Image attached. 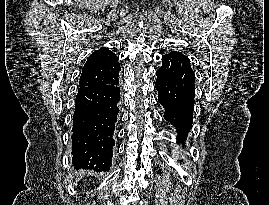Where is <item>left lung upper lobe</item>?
Wrapping results in <instances>:
<instances>
[{
  "instance_id": "obj_1",
  "label": "left lung upper lobe",
  "mask_w": 269,
  "mask_h": 205,
  "mask_svg": "<svg viewBox=\"0 0 269 205\" xmlns=\"http://www.w3.org/2000/svg\"><path fill=\"white\" fill-rule=\"evenodd\" d=\"M171 54H178V55H183L182 53H180V52H177V51L171 52Z\"/></svg>"
}]
</instances>
